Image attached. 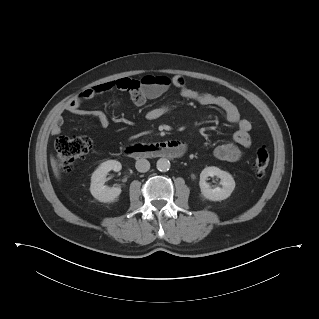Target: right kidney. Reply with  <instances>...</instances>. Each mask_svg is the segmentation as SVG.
Instances as JSON below:
<instances>
[{
  "label": "right kidney",
  "instance_id": "1",
  "mask_svg": "<svg viewBox=\"0 0 319 319\" xmlns=\"http://www.w3.org/2000/svg\"><path fill=\"white\" fill-rule=\"evenodd\" d=\"M122 165L116 160L103 162L91 176L90 192L92 196L100 202H112L121 194L120 187H108L105 184V178L109 171H120Z\"/></svg>",
  "mask_w": 319,
  "mask_h": 319
}]
</instances>
